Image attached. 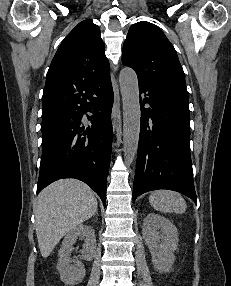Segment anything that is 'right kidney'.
Segmentation results:
<instances>
[{"mask_svg": "<svg viewBox=\"0 0 231 286\" xmlns=\"http://www.w3.org/2000/svg\"><path fill=\"white\" fill-rule=\"evenodd\" d=\"M78 237L84 239L82 259L91 261L96 252V237L91 226L79 225L65 236L59 250L57 269L60 273L61 281L67 286L79 284L85 277L83 263L78 260H72L70 257L73 245ZM71 262H74L75 265H72Z\"/></svg>", "mask_w": 231, "mask_h": 286, "instance_id": "right-kidney-1", "label": "right kidney"}]
</instances>
